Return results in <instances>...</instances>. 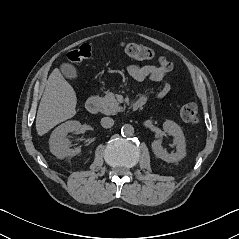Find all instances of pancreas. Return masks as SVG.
Instances as JSON below:
<instances>
[{"instance_id": "pancreas-1", "label": "pancreas", "mask_w": 239, "mask_h": 239, "mask_svg": "<svg viewBox=\"0 0 239 239\" xmlns=\"http://www.w3.org/2000/svg\"><path fill=\"white\" fill-rule=\"evenodd\" d=\"M100 103L101 112L105 115H114L121 110L119 102L116 100L115 95L112 92L107 93L103 98H101Z\"/></svg>"}]
</instances>
